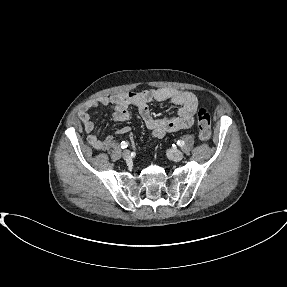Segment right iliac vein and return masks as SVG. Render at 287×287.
<instances>
[{
    "label": "right iliac vein",
    "instance_id": "63e3f726",
    "mask_svg": "<svg viewBox=\"0 0 287 287\" xmlns=\"http://www.w3.org/2000/svg\"><path fill=\"white\" fill-rule=\"evenodd\" d=\"M122 157H123L125 160H129V159H130V151H129V150L123 151Z\"/></svg>",
    "mask_w": 287,
    "mask_h": 287
}]
</instances>
